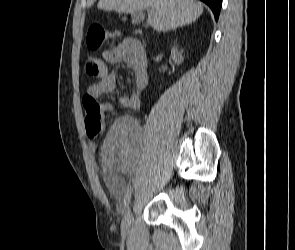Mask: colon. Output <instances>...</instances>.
I'll list each match as a JSON object with an SVG mask.
<instances>
[{
  "label": "colon",
  "instance_id": "obj_1",
  "mask_svg": "<svg viewBox=\"0 0 295 250\" xmlns=\"http://www.w3.org/2000/svg\"><path fill=\"white\" fill-rule=\"evenodd\" d=\"M110 36L100 25H93L89 28L87 34V45L91 50L100 48L106 39ZM101 62L94 55H88L84 60V69L88 76L97 77L101 72ZM83 105L85 109V127L87 135L91 138L101 134L105 127L106 111L95 98L84 96Z\"/></svg>",
  "mask_w": 295,
  "mask_h": 250
}]
</instances>
